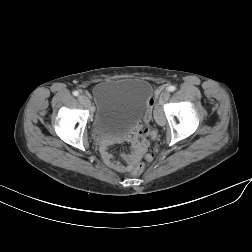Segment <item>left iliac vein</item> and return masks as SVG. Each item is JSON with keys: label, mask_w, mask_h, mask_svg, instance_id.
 Segmentation results:
<instances>
[{"label": "left iliac vein", "mask_w": 252, "mask_h": 252, "mask_svg": "<svg viewBox=\"0 0 252 252\" xmlns=\"http://www.w3.org/2000/svg\"><path fill=\"white\" fill-rule=\"evenodd\" d=\"M170 93L168 91H163L159 96V102L162 104L169 99Z\"/></svg>", "instance_id": "obj_1"}]
</instances>
